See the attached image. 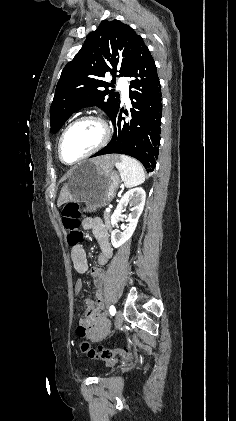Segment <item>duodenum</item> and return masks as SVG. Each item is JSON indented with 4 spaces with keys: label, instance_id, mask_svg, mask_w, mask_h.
I'll return each instance as SVG.
<instances>
[{
    "label": "duodenum",
    "instance_id": "duodenum-1",
    "mask_svg": "<svg viewBox=\"0 0 236 421\" xmlns=\"http://www.w3.org/2000/svg\"><path fill=\"white\" fill-rule=\"evenodd\" d=\"M103 252L98 259V263L100 265H104L108 262L112 255L111 248L109 246H103ZM92 276L97 284V293H96V305L97 309L103 308L105 301H104V271L101 268H95L92 272ZM91 320L84 321V332L87 335H98L100 331L99 322L97 319L96 310H92V315L90 316Z\"/></svg>",
    "mask_w": 236,
    "mask_h": 421
}]
</instances>
